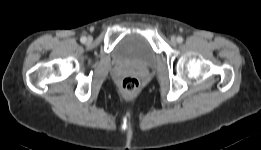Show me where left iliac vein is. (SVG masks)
<instances>
[{
    "label": "left iliac vein",
    "instance_id": "obj_1",
    "mask_svg": "<svg viewBox=\"0 0 261 150\" xmlns=\"http://www.w3.org/2000/svg\"><path fill=\"white\" fill-rule=\"evenodd\" d=\"M171 42H172L173 44H175V43L177 42L176 37L172 36V37H171Z\"/></svg>",
    "mask_w": 261,
    "mask_h": 150
}]
</instances>
